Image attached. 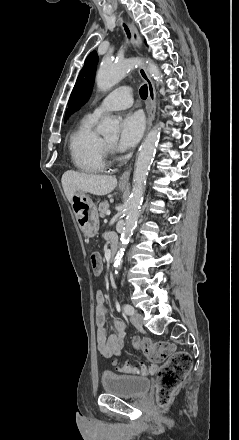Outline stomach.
<instances>
[{
	"instance_id": "1",
	"label": "stomach",
	"mask_w": 239,
	"mask_h": 440,
	"mask_svg": "<svg viewBox=\"0 0 239 440\" xmlns=\"http://www.w3.org/2000/svg\"><path fill=\"white\" fill-rule=\"evenodd\" d=\"M119 188L120 190H125L121 186ZM72 210L85 238H94L99 230L97 206L93 204L86 192H76L72 198Z\"/></svg>"
}]
</instances>
